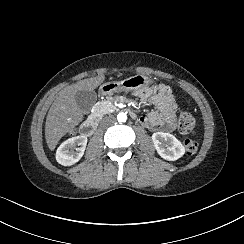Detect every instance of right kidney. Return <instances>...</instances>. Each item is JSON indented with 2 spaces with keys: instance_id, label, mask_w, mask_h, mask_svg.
<instances>
[{
  "instance_id": "obj_1",
  "label": "right kidney",
  "mask_w": 244,
  "mask_h": 244,
  "mask_svg": "<svg viewBox=\"0 0 244 244\" xmlns=\"http://www.w3.org/2000/svg\"><path fill=\"white\" fill-rule=\"evenodd\" d=\"M78 145L80 147L73 149ZM87 137L86 136H76L64 141L56 151V160L59 164L63 166H71L78 162L86 149Z\"/></svg>"
}]
</instances>
